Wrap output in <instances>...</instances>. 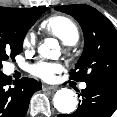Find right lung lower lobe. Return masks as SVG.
<instances>
[{
    "label": "right lung lower lobe",
    "instance_id": "obj_1",
    "mask_svg": "<svg viewBox=\"0 0 117 117\" xmlns=\"http://www.w3.org/2000/svg\"><path fill=\"white\" fill-rule=\"evenodd\" d=\"M41 88L35 79L12 82L10 76L0 71V117H25L31 96Z\"/></svg>",
    "mask_w": 117,
    "mask_h": 117
}]
</instances>
